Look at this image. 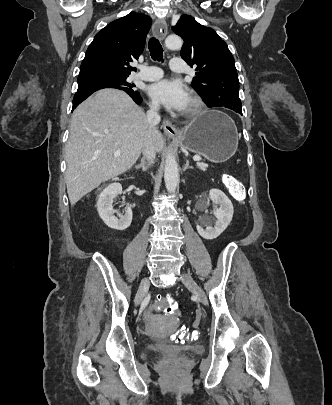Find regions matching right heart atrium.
I'll list each match as a JSON object with an SVG mask.
<instances>
[{
	"mask_svg": "<svg viewBox=\"0 0 332 405\" xmlns=\"http://www.w3.org/2000/svg\"><path fill=\"white\" fill-rule=\"evenodd\" d=\"M151 106L154 108L157 107V105L155 103H151Z\"/></svg>",
	"mask_w": 332,
	"mask_h": 405,
	"instance_id": "1",
	"label": "right heart atrium"
}]
</instances>
